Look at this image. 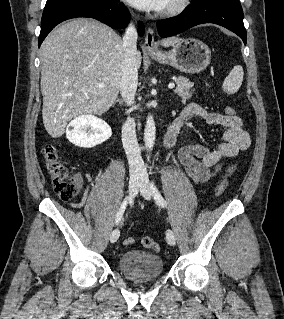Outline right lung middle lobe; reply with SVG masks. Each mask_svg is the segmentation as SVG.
Instances as JSON below:
<instances>
[{"label":"right lung middle lobe","mask_w":284,"mask_h":319,"mask_svg":"<svg viewBox=\"0 0 284 319\" xmlns=\"http://www.w3.org/2000/svg\"><path fill=\"white\" fill-rule=\"evenodd\" d=\"M60 1H64V0H47L46 6L55 4V3L60 2Z\"/></svg>","instance_id":"dd1d6c3e"}]
</instances>
